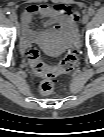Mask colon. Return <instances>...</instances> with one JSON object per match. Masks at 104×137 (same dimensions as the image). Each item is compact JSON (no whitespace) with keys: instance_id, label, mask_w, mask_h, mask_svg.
<instances>
[{"instance_id":"colon-1","label":"colon","mask_w":104,"mask_h":137,"mask_svg":"<svg viewBox=\"0 0 104 137\" xmlns=\"http://www.w3.org/2000/svg\"><path fill=\"white\" fill-rule=\"evenodd\" d=\"M26 58L33 72L43 77L39 84V91L43 95H49L54 88V79L61 74L73 70L78 61L76 48L71 49L57 65H47L41 58L39 50L35 46H30L26 50Z\"/></svg>"}]
</instances>
